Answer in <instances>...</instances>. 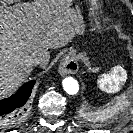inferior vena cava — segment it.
<instances>
[{"label": "inferior vena cava", "instance_id": "602c4592", "mask_svg": "<svg viewBox=\"0 0 133 133\" xmlns=\"http://www.w3.org/2000/svg\"><path fill=\"white\" fill-rule=\"evenodd\" d=\"M44 59H45L44 55L42 53H38L37 55L30 57L27 60V64L30 67H32V66L40 64Z\"/></svg>", "mask_w": 133, "mask_h": 133}]
</instances>
